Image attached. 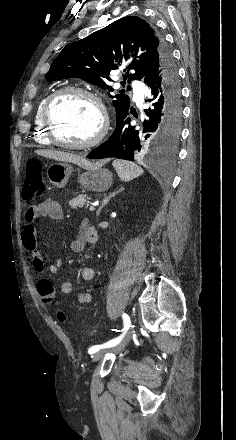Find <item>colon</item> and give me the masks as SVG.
Instances as JSON below:
<instances>
[{
	"label": "colon",
	"mask_w": 236,
	"mask_h": 440,
	"mask_svg": "<svg viewBox=\"0 0 236 440\" xmlns=\"http://www.w3.org/2000/svg\"><path fill=\"white\" fill-rule=\"evenodd\" d=\"M43 191L44 177L41 163L38 160H30L25 168L23 198L25 200L35 199L40 197ZM38 291L47 307H54L56 305L54 287L49 280H40L38 282ZM57 317L60 321L65 320V316L61 311L57 312Z\"/></svg>",
	"instance_id": "colon-1"
}]
</instances>
